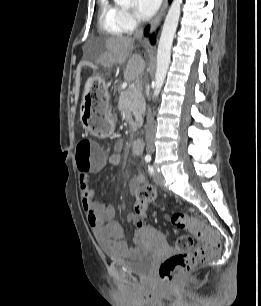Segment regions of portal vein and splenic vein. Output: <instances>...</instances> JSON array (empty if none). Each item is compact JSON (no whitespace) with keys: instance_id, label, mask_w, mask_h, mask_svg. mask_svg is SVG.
Returning a JSON list of instances; mask_svg holds the SVG:
<instances>
[{"instance_id":"18ae733b","label":"portal vein and splenic vein","mask_w":261,"mask_h":306,"mask_svg":"<svg viewBox=\"0 0 261 306\" xmlns=\"http://www.w3.org/2000/svg\"><path fill=\"white\" fill-rule=\"evenodd\" d=\"M129 88L132 90L134 94L138 92V89L134 85H129Z\"/></svg>"}]
</instances>
